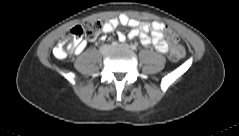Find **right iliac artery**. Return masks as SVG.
<instances>
[{"instance_id": "1", "label": "right iliac artery", "mask_w": 239, "mask_h": 136, "mask_svg": "<svg viewBox=\"0 0 239 136\" xmlns=\"http://www.w3.org/2000/svg\"><path fill=\"white\" fill-rule=\"evenodd\" d=\"M118 45V42L117 41H113L112 42V46H117Z\"/></svg>"}]
</instances>
